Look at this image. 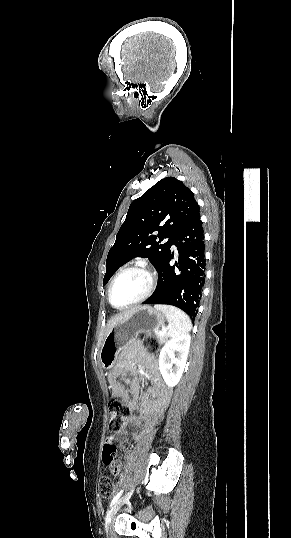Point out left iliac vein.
Wrapping results in <instances>:
<instances>
[{
	"mask_svg": "<svg viewBox=\"0 0 291 538\" xmlns=\"http://www.w3.org/2000/svg\"><path fill=\"white\" fill-rule=\"evenodd\" d=\"M132 493H133V489H131L123 498L118 500L111 507V509L109 510V512H108V514L106 516V519H105V528H106V530H108L109 525H110L111 521L113 520L114 516L116 515V513L118 512V510L129 500Z\"/></svg>",
	"mask_w": 291,
	"mask_h": 538,
	"instance_id": "4c4485c4",
	"label": "left iliac vein"
}]
</instances>
